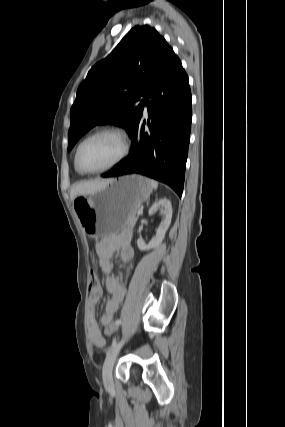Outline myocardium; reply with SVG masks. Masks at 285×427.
<instances>
[{
	"label": "myocardium",
	"mask_w": 285,
	"mask_h": 427,
	"mask_svg": "<svg viewBox=\"0 0 285 427\" xmlns=\"http://www.w3.org/2000/svg\"><path fill=\"white\" fill-rule=\"evenodd\" d=\"M102 134H114L116 136H118L121 140H122V151L120 153V155L109 165L100 168V169H96V170H86L84 169L81 164H80V153L81 150L83 148V146L90 141L91 139L102 135ZM130 147H131V142L129 139V136L127 135V133L125 131H123L120 128H116V127H104L101 128L95 132H93L92 134L88 135L77 147L76 153H75V165L77 167V169L82 173V174H98V173H103L106 172L108 170L113 169L114 167H116L117 165H119L129 154L130 152Z\"/></svg>",
	"instance_id": "obj_1"
}]
</instances>
